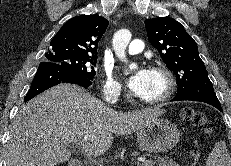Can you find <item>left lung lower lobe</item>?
<instances>
[{
    "instance_id": "obj_1",
    "label": "left lung lower lobe",
    "mask_w": 231,
    "mask_h": 166,
    "mask_svg": "<svg viewBox=\"0 0 231 166\" xmlns=\"http://www.w3.org/2000/svg\"><path fill=\"white\" fill-rule=\"evenodd\" d=\"M191 100L200 101L210 104L216 107L222 112L221 104L214 91H197L190 90L181 94H178L172 101Z\"/></svg>"
}]
</instances>
